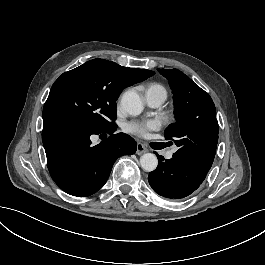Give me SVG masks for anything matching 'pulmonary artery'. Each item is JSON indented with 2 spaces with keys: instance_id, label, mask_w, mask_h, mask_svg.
Here are the masks:
<instances>
[{
  "instance_id": "1",
  "label": "pulmonary artery",
  "mask_w": 265,
  "mask_h": 265,
  "mask_svg": "<svg viewBox=\"0 0 265 265\" xmlns=\"http://www.w3.org/2000/svg\"><path fill=\"white\" fill-rule=\"evenodd\" d=\"M161 93L157 89H150L147 96H145L146 102L149 106L157 107L160 105Z\"/></svg>"
}]
</instances>
